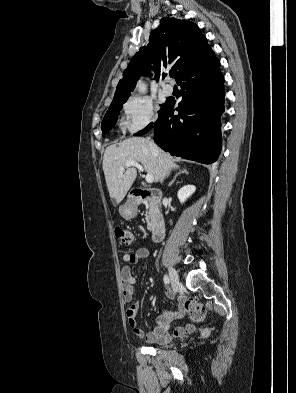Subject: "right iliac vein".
Returning a JSON list of instances; mask_svg holds the SVG:
<instances>
[{"mask_svg":"<svg viewBox=\"0 0 296 393\" xmlns=\"http://www.w3.org/2000/svg\"><path fill=\"white\" fill-rule=\"evenodd\" d=\"M169 277H170L173 289L175 291H177L180 286V281H179L178 274L173 267L169 268Z\"/></svg>","mask_w":296,"mask_h":393,"instance_id":"1","label":"right iliac vein"}]
</instances>
